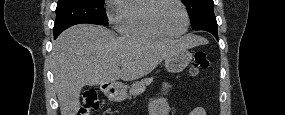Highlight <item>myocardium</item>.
I'll return each mask as SVG.
<instances>
[{"label":"myocardium","mask_w":285,"mask_h":115,"mask_svg":"<svg viewBox=\"0 0 285 115\" xmlns=\"http://www.w3.org/2000/svg\"><path fill=\"white\" fill-rule=\"evenodd\" d=\"M165 1H174L175 3H177L183 10V13H184V16H185V26L183 28V30H181L180 32H177V33H171L169 31H167L166 29H164L158 22L157 20V10L160 6V4L162 2H165ZM149 19H150V22L152 24V26L157 30L159 31L160 33H162L163 35H165L166 37H180L182 35H184L188 29H189V26H190V16H189V12L185 6V4L180 1V0H156L154 5L152 6V9L150 11V15H149Z\"/></svg>","instance_id":"myocardium-1"}]
</instances>
